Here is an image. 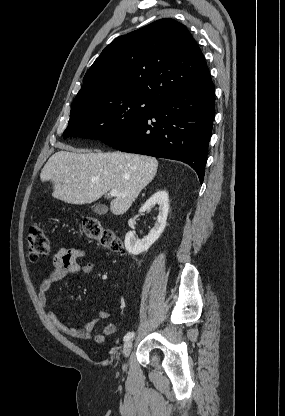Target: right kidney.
<instances>
[{"label":"right kidney","mask_w":285,"mask_h":416,"mask_svg":"<svg viewBox=\"0 0 285 416\" xmlns=\"http://www.w3.org/2000/svg\"><path fill=\"white\" fill-rule=\"evenodd\" d=\"M155 204H158L159 206V214L154 228L150 230V234L145 236L143 240H138L134 232H127L125 236V248L127 252H129V254H133V256H138V254H142V252H147L150 246H152V244L158 240L159 236H161L166 226L167 214L169 210L167 192H161V190H159V192L153 194V196H151V198H149V200L141 206L139 212H146L148 208L155 206Z\"/></svg>","instance_id":"ca27d5eb"}]
</instances>
